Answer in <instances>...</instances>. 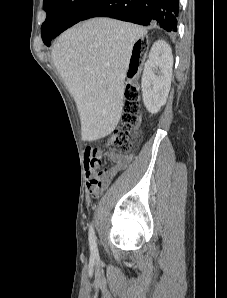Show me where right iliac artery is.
I'll return each mask as SVG.
<instances>
[{"mask_svg":"<svg viewBox=\"0 0 227 298\" xmlns=\"http://www.w3.org/2000/svg\"><path fill=\"white\" fill-rule=\"evenodd\" d=\"M89 243H90L91 254L96 255L97 254L96 237H95V232L92 225L89 228Z\"/></svg>","mask_w":227,"mask_h":298,"instance_id":"1","label":"right iliac artery"}]
</instances>
